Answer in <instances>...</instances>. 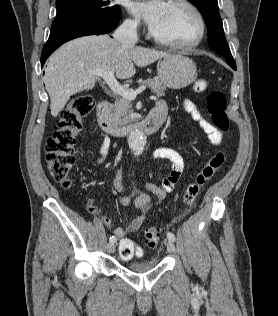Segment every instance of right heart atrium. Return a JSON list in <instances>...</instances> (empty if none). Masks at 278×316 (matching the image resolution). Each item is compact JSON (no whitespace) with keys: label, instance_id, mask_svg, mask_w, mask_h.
I'll use <instances>...</instances> for the list:
<instances>
[{"label":"right heart atrium","instance_id":"d8ad5b80","mask_svg":"<svg viewBox=\"0 0 278 316\" xmlns=\"http://www.w3.org/2000/svg\"><path fill=\"white\" fill-rule=\"evenodd\" d=\"M123 27L128 33L135 34L140 28V23L137 19L128 18L124 21Z\"/></svg>","mask_w":278,"mask_h":316}]
</instances>
